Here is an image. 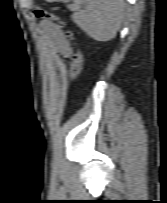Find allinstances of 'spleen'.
<instances>
[{
    "instance_id": "3e777b00",
    "label": "spleen",
    "mask_w": 167,
    "mask_h": 203,
    "mask_svg": "<svg viewBox=\"0 0 167 203\" xmlns=\"http://www.w3.org/2000/svg\"><path fill=\"white\" fill-rule=\"evenodd\" d=\"M61 1L68 3L71 0ZM72 1L67 7L73 12V21L87 35L98 41H108L116 36L124 18V0Z\"/></svg>"
}]
</instances>
